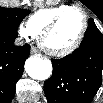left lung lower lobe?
<instances>
[{
	"mask_svg": "<svg viewBox=\"0 0 103 103\" xmlns=\"http://www.w3.org/2000/svg\"><path fill=\"white\" fill-rule=\"evenodd\" d=\"M52 65V77L44 84L49 103H91L103 75V35L96 25H89L78 49L52 59Z\"/></svg>",
	"mask_w": 103,
	"mask_h": 103,
	"instance_id": "0a47b994",
	"label": "left lung lower lobe"
}]
</instances>
